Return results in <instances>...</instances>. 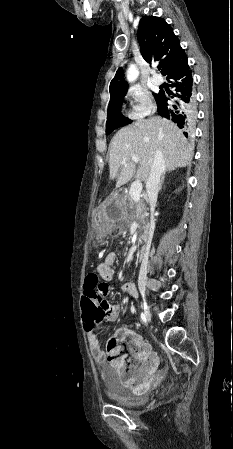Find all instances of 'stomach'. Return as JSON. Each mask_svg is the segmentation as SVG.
Returning <instances> with one entry per match:
<instances>
[{
    "label": "stomach",
    "mask_w": 233,
    "mask_h": 449,
    "mask_svg": "<svg viewBox=\"0 0 233 449\" xmlns=\"http://www.w3.org/2000/svg\"><path fill=\"white\" fill-rule=\"evenodd\" d=\"M122 197L114 195L109 198L100 208V212H96L95 219L100 229L111 228L121 219L122 214Z\"/></svg>",
    "instance_id": "1"
}]
</instances>
